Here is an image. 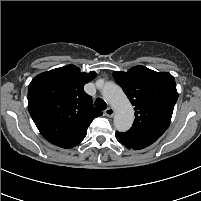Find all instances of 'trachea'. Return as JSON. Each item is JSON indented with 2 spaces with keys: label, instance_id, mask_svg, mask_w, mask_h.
<instances>
[{
  "label": "trachea",
  "instance_id": "1",
  "mask_svg": "<svg viewBox=\"0 0 201 201\" xmlns=\"http://www.w3.org/2000/svg\"><path fill=\"white\" fill-rule=\"evenodd\" d=\"M94 104H95V107L97 109H99V110H105L107 108L106 102L103 99H101V98H97L95 100Z\"/></svg>",
  "mask_w": 201,
  "mask_h": 201
}]
</instances>
